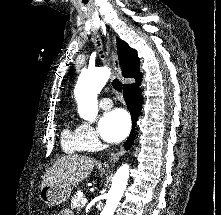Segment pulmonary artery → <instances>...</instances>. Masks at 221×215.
Returning a JSON list of instances; mask_svg holds the SVG:
<instances>
[{
    "label": "pulmonary artery",
    "instance_id": "obj_1",
    "mask_svg": "<svg viewBox=\"0 0 221 215\" xmlns=\"http://www.w3.org/2000/svg\"><path fill=\"white\" fill-rule=\"evenodd\" d=\"M99 104L103 109H110L113 105L112 100L110 98H102Z\"/></svg>",
    "mask_w": 221,
    "mask_h": 215
}]
</instances>
